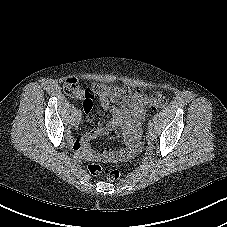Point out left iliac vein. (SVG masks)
I'll return each instance as SVG.
<instances>
[{
  "label": "left iliac vein",
  "mask_w": 227,
  "mask_h": 227,
  "mask_svg": "<svg viewBox=\"0 0 227 227\" xmlns=\"http://www.w3.org/2000/svg\"><path fill=\"white\" fill-rule=\"evenodd\" d=\"M147 137L150 140H154V138H155V132H154V130L152 128H148Z\"/></svg>",
  "instance_id": "left-iliac-vein-1"
}]
</instances>
